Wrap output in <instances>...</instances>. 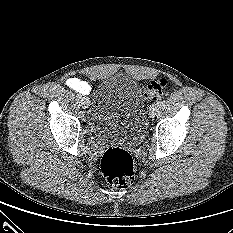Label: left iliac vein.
Here are the masks:
<instances>
[{
    "label": "left iliac vein",
    "mask_w": 233,
    "mask_h": 233,
    "mask_svg": "<svg viewBox=\"0 0 233 233\" xmlns=\"http://www.w3.org/2000/svg\"><path fill=\"white\" fill-rule=\"evenodd\" d=\"M158 110H159V106L157 104H153L149 108V116H150V118H154L157 115Z\"/></svg>",
    "instance_id": "4c4485c4"
}]
</instances>
